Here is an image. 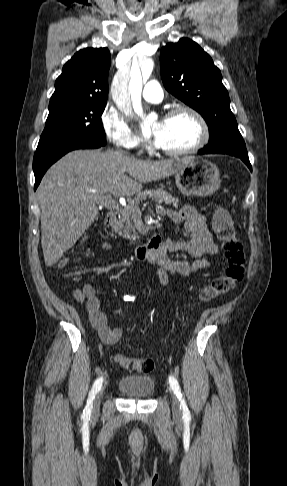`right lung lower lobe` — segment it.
<instances>
[{
	"label": "right lung lower lobe",
	"mask_w": 287,
	"mask_h": 486,
	"mask_svg": "<svg viewBox=\"0 0 287 486\" xmlns=\"http://www.w3.org/2000/svg\"><path fill=\"white\" fill-rule=\"evenodd\" d=\"M101 146L104 145L97 143H74L49 149L36 150L33 159V171L35 175L34 189L38 187L46 170L69 151L75 149H95L100 148Z\"/></svg>",
	"instance_id": "1"
}]
</instances>
